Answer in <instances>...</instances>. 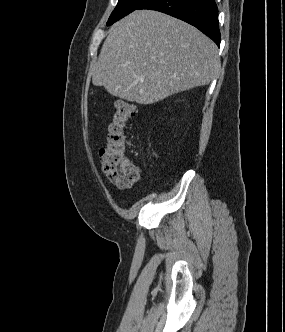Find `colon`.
I'll use <instances>...</instances> for the list:
<instances>
[{
	"instance_id": "obj_1",
	"label": "colon",
	"mask_w": 285,
	"mask_h": 332,
	"mask_svg": "<svg viewBox=\"0 0 285 332\" xmlns=\"http://www.w3.org/2000/svg\"><path fill=\"white\" fill-rule=\"evenodd\" d=\"M136 114V106L127 100H118L108 135L100 149L102 170L114 185L127 189L140 179V168L126 156L125 127Z\"/></svg>"
}]
</instances>
